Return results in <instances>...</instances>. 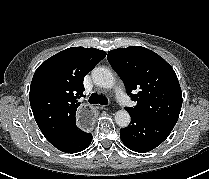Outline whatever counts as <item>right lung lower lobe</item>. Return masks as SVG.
Here are the masks:
<instances>
[{"label": "right lung lower lobe", "instance_id": "1", "mask_svg": "<svg viewBox=\"0 0 209 179\" xmlns=\"http://www.w3.org/2000/svg\"><path fill=\"white\" fill-rule=\"evenodd\" d=\"M91 140L92 134L82 131L75 124L73 128L50 141V143L62 152L77 153L86 149Z\"/></svg>", "mask_w": 209, "mask_h": 179}]
</instances>
